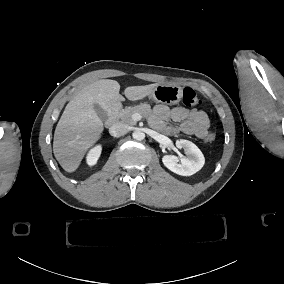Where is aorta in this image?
Listing matches in <instances>:
<instances>
[{
	"label": "aorta",
	"mask_w": 284,
	"mask_h": 284,
	"mask_svg": "<svg viewBox=\"0 0 284 284\" xmlns=\"http://www.w3.org/2000/svg\"><path fill=\"white\" fill-rule=\"evenodd\" d=\"M132 136L137 141H141L145 138V134L143 132H140V131L133 132Z\"/></svg>",
	"instance_id": "762f6f07"
}]
</instances>
